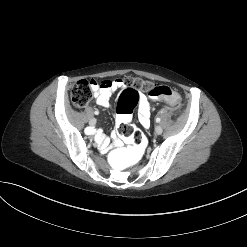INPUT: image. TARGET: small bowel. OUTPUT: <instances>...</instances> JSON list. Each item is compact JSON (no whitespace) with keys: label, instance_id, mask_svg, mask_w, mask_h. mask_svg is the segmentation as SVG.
I'll return each mask as SVG.
<instances>
[{"label":"small bowel","instance_id":"1","mask_svg":"<svg viewBox=\"0 0 247 247\" xmlns=\"http://www.w3.org/2000/svg\"><path fill=\"white\" fill-rule=\"evenodd\" d=\"M126 86L125 81L122 79H116L113 81H104L97 83L94 81L93 92L94 97L98 105L108 108L111 105V96L119 89ZM138 120L142 127L148 128L150 126V104L145 94H139V113ZM96 141L102 151H106L110 143L109 139L106 138L102 133L96 134ZM116 145L120 144V141L115 139Z\"/></svg>","mask_w":247,"mask_h":247}]
</instances>
